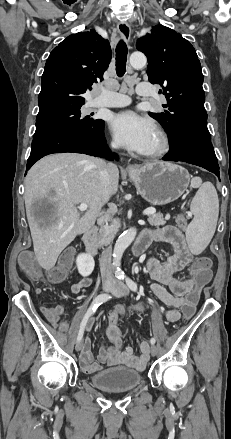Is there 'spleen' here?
<instances>
[{"label":"spleen","instance_id":"spleen-1","mask_svg":"<svg viewBox=\"0 0 231 439\" xmlns=\"http://www.w3.org/2000/svg\"><path fill=\"white\" fill-rule=\"evenodd\" d=\"M193 220L186 230V238L193 254H200L210 243L216 229L219 200L215 187L203 183L191 202Z\"/></svg>","mask_w":231,"mask_h":439}]
</instances>
